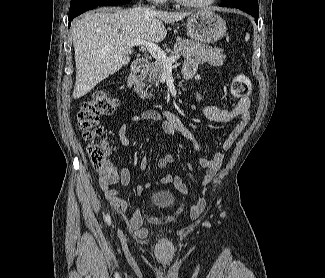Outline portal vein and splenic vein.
<instances>
[{
    "label": "portal vein and splenic vein",
    "mask_w": 325,
    "mask_h": 278,
    "mask_svg": "<svg viewBox=\"0 0 325 278\" xmlns=\"http://www.w3.org/2000/svg\"><path fill=\"white\" fill-rule=\"evenodd\" d=\"M144 46L149 53L166 68H171L172 64L178 60L179 55L168 57L166 53L155 43L146 40H132L129 43L131 46Z\"/></svg>",
    "instance_id": "18ae733b"
}]
</instances>
